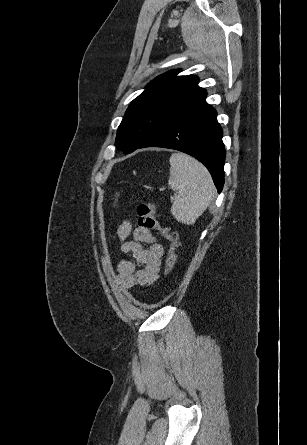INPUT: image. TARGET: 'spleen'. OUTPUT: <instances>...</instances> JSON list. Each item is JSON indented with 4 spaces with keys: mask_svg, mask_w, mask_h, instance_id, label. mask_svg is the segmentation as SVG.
Listing matches in <instances>:
<instances>
[{
    "mask_svg": "<svg viewBox=\"0 0 307 445\" xmlns=\"http://www.w3.org/2000/svg\"><path fill=\"white\" fill-rule=\"evenodd\" d=\"M168 184L174 190L171 212L183 225H194L215 194L212 176L196 158L173 152L170 156Z\"/></svg>",
    "mask_w": 307,
    "mask_h": 445,
    "instance_id": "obj_1",
    "label": "spleen"
}]
</instances>
